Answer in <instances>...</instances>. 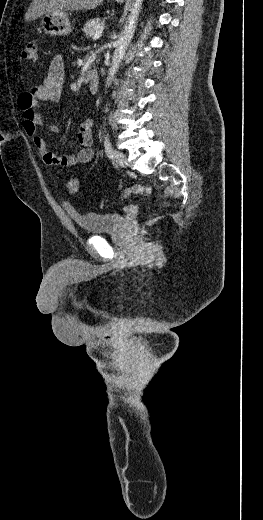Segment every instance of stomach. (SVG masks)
Here are the masks:
<instances>
[{
  "label": "stomach",
  "instance_id": "stomach-1",
  "mask_svg": "<svg viewBox=\"0 0 263 520\" xmlns=\"http://www.w3.org/2000/svg\"><path fill=\"white\" fill-rule=\"evenodd\" d=\"M123 2V0H116ZM41 28L45 34L52 36L68 35L72 31L71 22L66 12H50L42 16Z\"/></svg>",
  "mask_w": 263,
  "mask_h": 520
}]
</instances>
